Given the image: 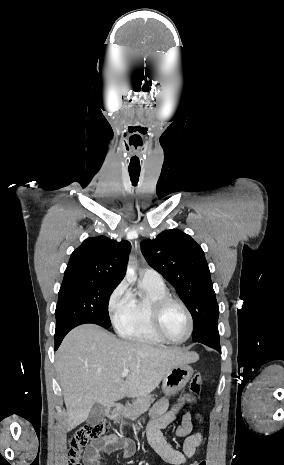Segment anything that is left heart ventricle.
Instances as JSON below:
<instances>
[{"label":"left heart ventricle","mask_w":284,"mask_h":465,"mask_svg":"<svg viewBox=\"0 0 284 465\" xmlns=\"http://www.w3.org/2000/svg\"><path fill=\"white\" fill-rule=\"evenodd\" d=\"M189 330V320L186 312L177 305L170 306L163 319L165 335L174 341L185 338Z\"/></svg>","instance_id":"b2bd125f"}]
</instances>
